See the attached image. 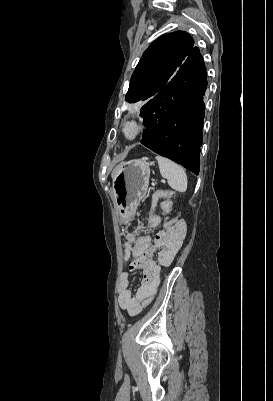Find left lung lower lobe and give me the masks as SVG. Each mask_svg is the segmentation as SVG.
Masks as SVG:
<instances>
[{
	"mask_svg": "<svg viewBox=\"0 0 273 401\" xmlns=\"http://www.w3.org/2000/svg\"><path fill=\"white\" fill-rule=\"evenodd\" d=\"M207 89L204 60L193 47L167 85L140 110L147 125L141 143L199 173Z\"/></svg>",
	"mask_w": 273,
	"mask_h": 401,
	"instance_id": "left-lung-lower-lobe-1",
	"label": "left lung lower lobe"
}]
</instances>
